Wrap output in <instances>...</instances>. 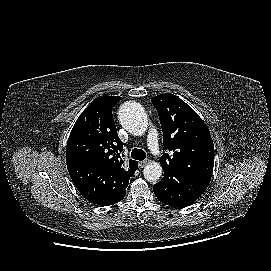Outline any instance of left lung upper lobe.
<instances>
[{
	"mask_svg": "<svg viewBox=\"0 0 271 271\" xmlns=\"http://www.w3.org/2000/svg\"><path fill=\"white\" fill-rule=\"evenodd\" d=\"M163 130V144L171 155H163L164 172H179L208 187L214 166V145L199 115L171 93L151 99Z\"/></svg>",
	"mask_w": 271,
	"mask_h": 271,
	"instance_id": "1",
	"label": "left lung upper lobe"
}]
</instances>
